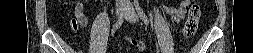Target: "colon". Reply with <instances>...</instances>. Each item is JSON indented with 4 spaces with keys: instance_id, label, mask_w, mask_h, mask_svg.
<instances>
[{
    "instance_id": "obj_1",
    "label": "colon",
    "mask_w": 253,
    "mask_h": 53,
    "mask_svg": "<svg viewBox=\"0 0 253 53\" xmlns=\"http://www.w3.org/2000/svg\"><path fill=\"white\" fill-rule=\"evenodd\" d=\"M75 13H77V10L75 9ZM201 7L198 3V1H193L192 5L190 6L188 10V18L185 22L184 28H183V36L185 38H191L196 33L199 19L201 17ZM71 25L74 29H77L79 25L78 19H72ZM128 43L132 46L136 47L138 50H143L145 48L144 42L137 40V39H129Z\"/></svg>"
}]
</instances>
